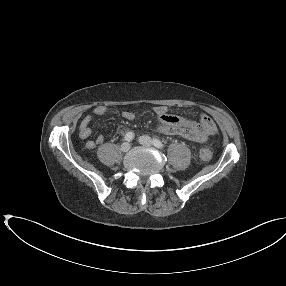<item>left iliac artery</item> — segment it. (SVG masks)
Masks as SVG:
<instances>
[{
    "label": "left iliac artery",
    "instance_id": "44dca946",
    "mask_svg": "<svg viewBox=\"0 0 286 286\" xmlns=\"http://www.w3.org/2000/svg\"><path fill=\"white\" fill-rule=\"evenodd\" d=\"M153 145L157 148H163L164 147L163 143L156 138L153 139Z\"/></svg>",
    "mask_w": 286,
    "mask_h": 286
}]
</instances>
